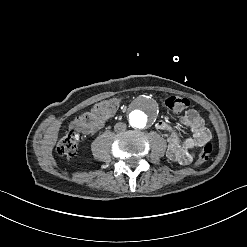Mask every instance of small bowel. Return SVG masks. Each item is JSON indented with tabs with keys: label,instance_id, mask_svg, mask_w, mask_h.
Instances as JSON below:
<instances>
[{
	"label": "small bowel",
	"instance_id": "c3829d8e",
	"mask_svg": "<svg viewBox=\"0 0 247 247\" xmlns=\"http://www.w3.org/2000/svg\"><path fill=\"white\" fill-rule=\"evenodd\" d=\"M106 119H98L90 125L75 121L72 123L71 128L85 135L93 134L104 126ZM181 121L189 127L192 132L191 136L183 140L171 131L168 123L164 120H160L156 123V129L160 132L168 133L169 144L167 156L180 165H188L194 158V151L201 147L207 140L206 133L209 131L205 126L204 119L194 109L186 111Z\"/></svg>",
	"mask_w": 247,
	"mask_h": 247
}]
</instances>
